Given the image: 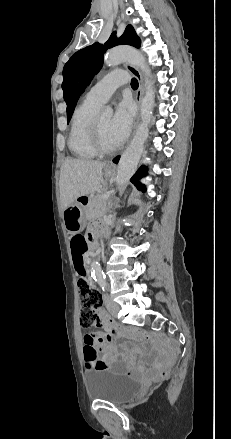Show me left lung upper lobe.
Returning a JSON list of instances; mask_svg holds the SVG:
<instances>
[{
	"mask_svg": "<svg viewBox=\"0 0 231 439\" xmlns=\"http://www.w3.org/2000/svg\"><path fill=\"white\" fill-rule=\"evenodd\" d=\"M127 44L139 48L141 41L133 27L128 25L120 38L113 32L108 41L102 45L98 42L77 51L65 64L63 69L62 89L67 104L68 122L72 117L77 101L103 65V56L106 49L115 45Z\"/></svg>",
	"mask_w": 231,
	"mask_h": 439,
	"instance_id": "left-lung-upper-lobe-1",
	"label": "left lung upper lobe"
}]
</instances>
